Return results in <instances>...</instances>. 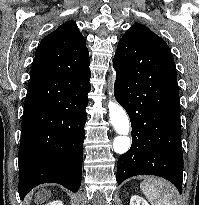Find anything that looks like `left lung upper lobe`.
Here are the masks:
<instances>
[{"label": "left lung upper lobe", "instance_id": "5c2ea615", "mask_svg": "<svg viewBox=\"0 0 199 205\" xmlns=\"http://www.w3.org/2000/svg\"><path fill=\"white\" fill-rule=\"evenodd\" d=\"M128 31L139 33L146 39L159 46L161 49L164 50L166 54L170 56L171 60L174 62L173 56L166 42L162 38L157 36L155 33H153L148 27L142 24H135Z\"/></svg>", "mask_w": 199, "mask_h": 205}]
</instances>
